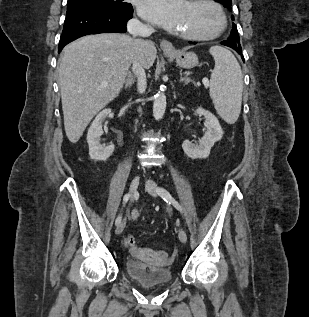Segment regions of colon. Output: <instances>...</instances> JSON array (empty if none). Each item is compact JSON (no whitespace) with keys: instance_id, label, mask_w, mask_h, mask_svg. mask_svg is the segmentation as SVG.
I'll list each match as a JSON object with an SVG mask.
<instances>
[{"instance_id":"obj_1","label":"colon","mask_w":309,"mask_h":317,"mask_svg":"<svg viewBox=\"0 0 309 317\" xmlns=\"http://www.w3.org/2000/svg\"><path fill=\"white\" fill-rule=\"evenodd\" d=\"M139 217V212L134 210L132 212V218L133 219H137ZM125 244L126 246H128L129 248H135V238L133 236H127L125 239ZM160 259L163 262H167L168 261V255L165 252H160L159 253Z\"/></svg>"}]
</instances>
